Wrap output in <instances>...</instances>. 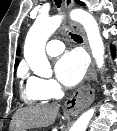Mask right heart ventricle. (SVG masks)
<instances>
[{"label": "right heart ventricle", "instance_id": "1", "mask_svg": "<svg viewBox=\"0 0 117 131\" xmlns=\"http://www.w3.org/2000/svg\"><path fill=\"white\" fill-rule=\"evenodd\" d=\"M22 98L28 104H40L48 99L31 77H28L22 86Z\"/></svg>", "mask_w": 117, "mask_h": 131}]
</instances>
